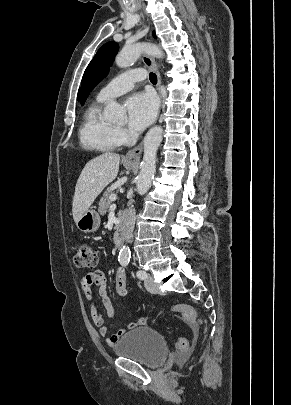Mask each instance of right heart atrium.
Wrapping results in <instances>:
<instances>
[{
    "label": "right heart atrium",
    "instance_id": "right-heart-atrium-1",
    "mask_svg": "<svg viewBox=\"0 0 291 405\" xmlns=\"http://www.w3.org/2000/svg\"><path fill=\"white\" fill-rule=\"evenodd\" d=\"M116 136H117L119 142L122 143L127 139V132L123 128H117Z\"/></svg>",
    "mask_w": 291,
    "mask_h": 405
}]
</instances>
